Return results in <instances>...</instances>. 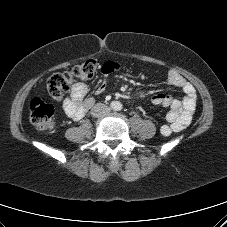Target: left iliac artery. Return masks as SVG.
<instances>
[{"label":"left iliac artery","instance_id":"1","mask_svg":"<svg viewBox=\"0 0 227 227\" xmlns=\"http://www.w3.org/2000/svg\"><path fill=\"white\" fill-rule=\"evenodd\" d=\"M122 109V105L121 104H118L117 106H116V110L117 111H120Z\"/></svg>","mask_w":227,"mask_h":227}]
</instances>
